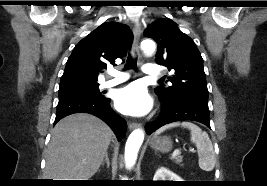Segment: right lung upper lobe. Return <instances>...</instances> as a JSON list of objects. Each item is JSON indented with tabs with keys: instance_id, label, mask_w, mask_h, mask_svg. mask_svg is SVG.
<instances>
[{
	"instance_id": "right-lung-upper-lobe-1",
	"label": "right lung upper lobe",
	"mask_w": 267,
	"mask_h": 186,
	"mask_svg": "<svg viewBox=\"0 0 267 186\" xmlns=\"http://www.w3.org/2000/svg\"><path fill=\"white\" fill-rule=\"evenodd\" d=\"M133 33L129 26L105 22L82 39L67 60L60 85L97 83L98 74L115 64L131 48Z\"/></svg>"
}]
</instances>
